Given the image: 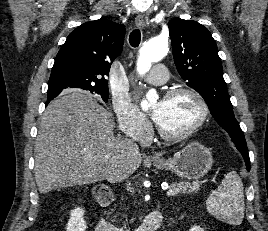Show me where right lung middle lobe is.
<instances>
[{
	"label": "right lung middle lobe",
	"instance_id": "dd1d6c3e",
	"mask_svg": "<svg viewBox=\"0 0 268 231\" xmlns=\"http://www.w3.org/2000/svg\"><path fill=\"white\" fill-rule=\"evenodd\" d=\"M61 91H62V88H52V89H48V94H59ZM89 91L101 95L104 101L108 99V96H109L108 89H90Z\"/></svg>",
	"mask_w": 268,
	"mask_h": 231
}]
</instances>
